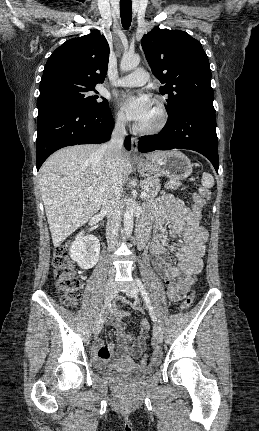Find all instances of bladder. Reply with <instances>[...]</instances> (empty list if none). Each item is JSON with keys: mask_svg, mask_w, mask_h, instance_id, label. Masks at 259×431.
I'll return each instance as SVG.
<instances>
[{"mask_svg": "<svg viewBox=\"0 0 259 431\" xmlns=\"http://www.w3.org/2000/svg\"><path fill=\"white\" fill-rule=\"evenodd\" d=\"M101 372L112 376H144L153 372V368H139L130 362L120 361L116 364L104 366Z\"/></svg>", "mask_w": 259, "mask_h": 431, "instance_id": "bladder-1", "label": "bladder"}]
</instances>
